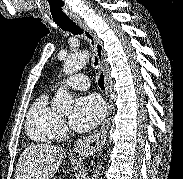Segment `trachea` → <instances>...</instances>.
<instances>
[{"label": "trachea", "instance_id": "3493384b", "mask_svg": "<svg viewBox=\"0 0 183 179\" xmlns=\"http://www.w3.org/2000/svg\"><path fill=\"white\" fill-rule=\"evenodd\" d=\"M52 15L57 25L64 31H69L74 35H81L83 33L82 28L79 27L75 22L71 21L62 11H60L59 13H55V15ZM87 36L92 40V37L89 33H87ZM94 65H98V60L96 57L94 60ZM98 84L101 89H105L103 74L100 75L98 79Z\"/></svg>", "mask_w": 183, "mask_h": 179}]
</instances>
